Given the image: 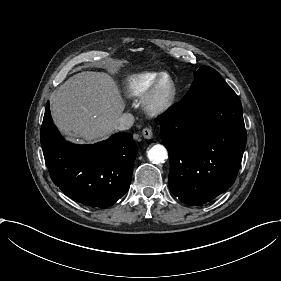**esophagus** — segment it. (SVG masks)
Here are the masks:
<instances>
[{"label": "esophagus", "mask_w": 281, "mask_h": 281, "mask_svg": "<svg viewBox=\"0 0 281 281\" xmlns=\"http://www.w3.org/2000/svg\"><path fill=\"white\" fill-rule=\"evenodd\" d=\"M142 135L145 139H151L153 137V132L150 128H144L142 130Z\"/></svg>", "instance_id": "esophagus-1"}]
</instances>
